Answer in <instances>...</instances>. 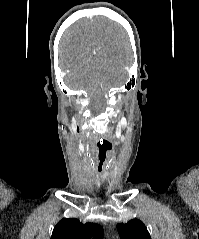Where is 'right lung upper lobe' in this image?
Here are the masks:
<instances>
[{
    "label": "right lung upper lobe",
    "mask_w": 199,
    "mask_h": 239,
    "mask_svg": "<svg viewBox=\"0 0 199 239\" xmlns=\"http://www.w3.org/2000/svg\"><path fill=\"white\" fill-rule=\"evenodd\" d=\"M103 228L96 223L82 224L76 218H64L55 227L50 239H103Z\"/></svg>",
    "instance_id": "1"
}]
</instances>
